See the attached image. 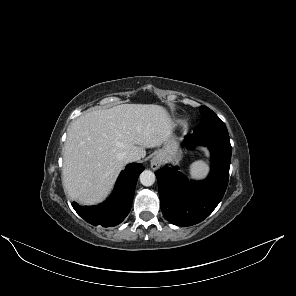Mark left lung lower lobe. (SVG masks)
<instances>
[{
    "mask_svg": "<svg viewBox=\"0 0 296 296\" xmlns=\"http://www.w3.org/2000/svg\"><path fill=\"white\" fill-rule=\"evenodd\" d=\"M188 147L207 146L211 152V172L206 180L189 182L168 166L156 171L161 210L174 225L191 226L203 221L216 208L226 191L231 161L227 130L193 132L185 138Z\"/></svg>",
    "mask_w": 296,
    "mask_h": 296,
    "instance_id": "1",
    "label": "left lung lower lobe"
}]
</instances>
